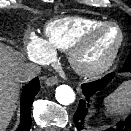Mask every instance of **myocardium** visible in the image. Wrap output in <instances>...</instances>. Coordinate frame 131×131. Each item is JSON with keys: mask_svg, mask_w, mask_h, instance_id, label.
<instances>
[{"mask_svg": "<svg viewBox=\"0 0 131 131\" xmlns=\"http://www.w3.org/2000/svg\"><path fill=\"white\" fill-rule=\"evenodd\" d=\"M108 27H115L118 29L119 40L117 45L104 61L98 64H85L81 59L83 53L89 47L96 35ZM124 41L125 34L122 27L118 23L111 21L102 22L85 32L68 50L69 63L74 71L81 76H99L108 71L113 66L120 54Z\"/></svg>", "mask_w": 131, "mask_h": 131, "instance_id": "1", "label": "myocardium"}]
</instances>
